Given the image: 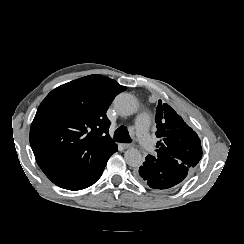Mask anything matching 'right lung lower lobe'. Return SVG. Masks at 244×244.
<instances>
[{"mask_svg":"<svg viewBox=\"0 0 244 244\" xmlns=\"http://www.w3.org/2000/svg\"><path fill=\"white\" fill-rule=\"evenodd\" d=\"M116 151L117 145L103 153L96 154L94 157H85L75 164L52 173L47 177L64 189L81 190L87 188L100 178L109 157Z\"/></svg>","mask_w":244,"mask_h":244,"instance_id":"1","label":"right lung lower lobe"}]
</instances>
